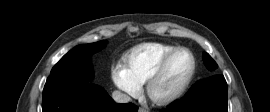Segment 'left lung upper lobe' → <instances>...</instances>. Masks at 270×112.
<instances>
[{
	"label": "left lung upper lobe",
	"mask_w": 270,
	"mask_h": 112,
	"mask_svg": "<svg viewBox=\"0 0 270 112\" xmlns=\"http://www.w3.org/2000/svg\"><path fill=\"white\" fill-rule=\"evenodd\" d=\"M203 61H204V63H205V65L207 66V68L209 69V70H215L217 67H218V65L216 64V62L211 58V56L208 54V53H204L203 54ZM203 80H201V81H199V82H197V84H199L200 82H202ZM196 84V85H197ZM195 85V86H196Z\"/></svg>",
	"instance_id": "1"
}]
</instances>
